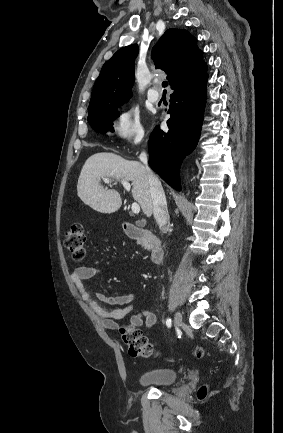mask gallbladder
Masks as SVG:
<instances>
[{
  "mask_svg": "<svg viewBox=\"0 0 283 433\" xmlns=\"http://www.w3.org/2000/svg\"><path fill=\"white\" fill-rule=\"evenodd\" d=\"M137 227H145L146 223L145 221H136Z\"/></svg>",
  "mask_w": 283,
  "mask_h": 433,
  "instance_id": "obj_1",
  "label": "gallbladder"
}]
</instances>
